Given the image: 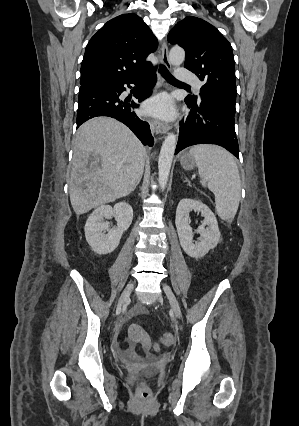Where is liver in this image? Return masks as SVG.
<instances>
[{
	"label": "liver",
	"instance_id": "obj_1",
	"mask_svg": "<svg viewBox=\"0 0 299 426\" xmlns=\"http://www.w3.org/2000/svg\"><path fill=\"white\" fill-rule=\"evenodd\" d=\"M145 156L142 143L115 119L83 123L73 142L69 194L74 212L84 214L130 194L143 175Z\"/></svg>",
	"mask_w": 299,
	"mask_h": 426
}]
</instances>
